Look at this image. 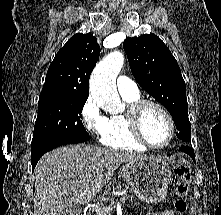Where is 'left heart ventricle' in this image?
Returning <instances> with one entry per match:
<instances>
[{"label":"left heart ventricle","mask_w":221,"mask_h":215,"mask_svg":"<svg viewBox=\"0 0 221 215\" xmlns=\"http://www.w3.org/2000/svg\"><path fill=\"white\" fill-rule=\"evenodd\" d=\"M142 131L150 143L163 145L169 137V122L158 108L147 106L142 114Z\"/></svg>","instance_id":"1"}]
</instances>
